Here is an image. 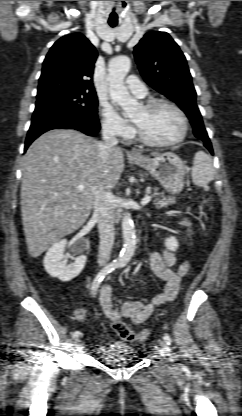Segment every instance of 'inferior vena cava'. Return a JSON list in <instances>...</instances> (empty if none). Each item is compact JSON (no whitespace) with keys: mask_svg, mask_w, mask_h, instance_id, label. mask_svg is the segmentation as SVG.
<instances>
[{"mask_svg":"<svg viewBox=\"0 0 242 416\" xmlns=\"http://www.w3.org/2000/svg\"><path fill=\"white\" fill-rule=\"evenodd\" d=\"M102 139L100 142V159L101 163H105L108 159L109 152L117 148L118 140L115 136V131L109 123H104L102 126ZM114 196L110 190L105 186H99L94 198V215L98 219L99 230V250H98V264L100 266L106 265L110 259L112 246L114 243L115 229V207L113 204Z\"/></svg>","mask_w":242,"mask_h":416,"instance_id":"602c4592","label":"inferior vena cava"}]
</instances>
